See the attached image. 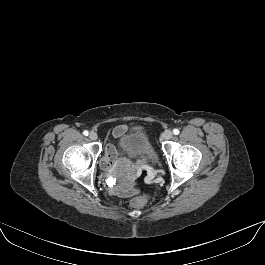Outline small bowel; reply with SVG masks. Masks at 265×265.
Segmentation results:
<instances>
[{
	"label": "small bowel",
	"instance_id": "small-bowel-1",
	"mask_svg": "<svg viewBox=\"0 0 265 265\" xmlns=\"http://www.w3.org/2000/svg\"><path fill=\"white\" fill-rule=\"evenodd\" d=\"M126 129H127L126 126L120 125L113 130L112 134L114 137H117L121 133L126 131ZM116 154H117L116 149L113 146L109 145L105 151L103 158H102V166L106 169L109 168L111 166ZM137 192H138V189L135 186L131 185V186H128V187L122 189L119 193L121 195H124V196H131V195L136 194Z\"/></svg>",
	"mask_w": 265,
	"mask_h": 265
}]
</instances>
